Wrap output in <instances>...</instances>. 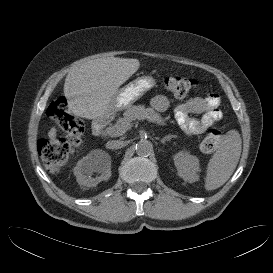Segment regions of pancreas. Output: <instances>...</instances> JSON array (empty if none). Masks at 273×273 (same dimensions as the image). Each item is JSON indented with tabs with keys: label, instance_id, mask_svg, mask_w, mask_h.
Returning <instances> with one entry per match:
<instances>
[{
	"label": "pancreas",
	"instance_id": "pancreas-1",
	"mask_svg": "<svg viewBox=\"0 0 273 273\" xmlns=\"http://www.w3.org/2000/svg\"><path fill=\"white\" fill-rule=\"evenodd\" d=\"M146 119L149 122L156 123L158 125H165L166 121L157 113L153 108H145L143 105H131L124 112V117L118 119L117 123L113 127L127 126L128 129L132 126L134 120Z\"/></svg>",
	"mask_w": 273,
	"mask_h": 273
}]
</instances>
